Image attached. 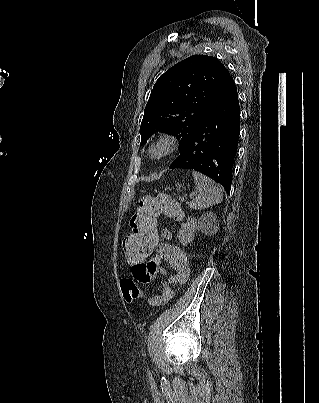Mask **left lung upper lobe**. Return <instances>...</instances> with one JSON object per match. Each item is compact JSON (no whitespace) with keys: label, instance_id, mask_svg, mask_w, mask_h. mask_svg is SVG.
Returning a JSON list of instances; mask_svg holds the SVG:
<instances>
[{"label":"left lung upper lobe","instance_id":"1","mask_svg":"<svg viewBox=\"0 0 319 403\" xmlns=\"http://www.w3.org/2000/svg\"><path fill=\"white\" fill-rule=\"evenodd\" d=\"M230 77L212 56L194 55L177 63L155 83L140 127L141 145L156 131L180 139V154L214 98Z\"/></svg>","mask_w":319,"mask_h":403}]
</instances>
